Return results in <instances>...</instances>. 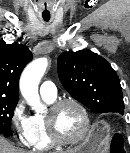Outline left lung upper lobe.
Listing matches in <instances>:
<instances>
[{
	"instance_id": "1",
	"label": "left lung upper lobe",
	"mask_w": 130,
	"mask_h": 153,
	"mask_svg": "<svg viewBox=\"0 0 130 153\" xmlns=\"http://www.w3.org/2000/svg\"><path fill=\"white\" fill-rule=\"evenodd\" d=\"M58 76L68 93L93 112L123 114L119 77L103 57L87 49L63 52Z\"/></svg>"
}]
</instances>
